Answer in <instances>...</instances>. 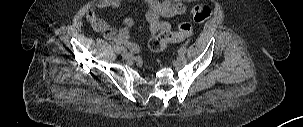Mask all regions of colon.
<instances>
[{"instance_id": "colon-1", "label": "colon", "mask_w": 303, "mask_h": 127, "mask_svg": "<svg viewBox=\"0 0 303 127\" xmlns=\"http://www.w3.org/2000/svg\"><path fill=\"white\" fill-rule=\"evenodd\" d=\"M193 20L198 23L206 21L211 16V9L204 5H195L191 9ZM192 32V27L189 23L183 22L178 26V32L162 31L157 36L149 41L150 49L154 51H161L165 49L170 43L179 42L187 37Z\"/></svg>"}]
</instances>
